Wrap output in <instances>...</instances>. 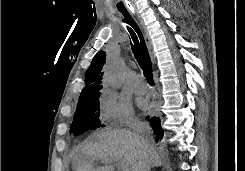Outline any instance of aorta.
Segmentation results:
<instances>
[{
  "label": "aorta",
  "instance_id": "1",
  "mask_svg": "<svg viewBox=\"0 0 245 171\" xmlns=\"http://www.w3.org/2000/svg\"><path fill=\"white\" fill-rule=\"evenodd\" d=\"M126 59L124 57L118 59L116 62L111 63L105 71L104 81L111 88H119L124 79L126 71Z\"/></svg>",
  "mask_w": 245,
  "mask_h": 171
}]
</instances>
